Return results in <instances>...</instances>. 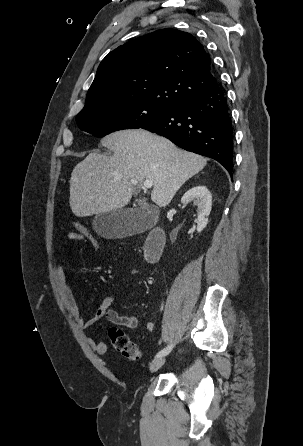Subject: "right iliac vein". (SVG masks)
<instances>
[{
  "label": "right iliac vein",
  "instance_id": "obj_1",
  "mask_svg": "<svg viewBox=\"0 0 303 446\" xmlns=\"http://www.w3.org/2000/svg\"><path fill=\"white\" fill-rule=\"evenodd\" d=\"M164 363H165L164 357L156 358L150 363L149 369L151 372H156L163 366Z\"/></svg>",
  "mask_w": 303,
  "mask_h": 446
}]
</instances>
